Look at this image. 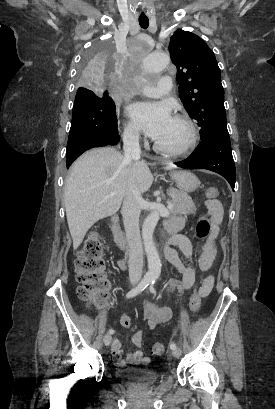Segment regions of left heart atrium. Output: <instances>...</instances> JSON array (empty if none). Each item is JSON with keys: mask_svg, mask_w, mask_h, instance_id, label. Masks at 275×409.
I'll list each match as a JSON object with an SVG mask.
<instances>
[{"mask_svg": "<svg viewBox=\"0 0 275 409\" xmlns=\"http://www.w3.org/2000/svg\"><path fill=\"white\" fill-rule=\"evenodd\" d=\"M130 111L152 138L157 136L171 120L170 109L165 103H138L133 105Z\"/></svg>", "mask_w": 275, "mask_h": 409, "instance_id": "39dd6f15", "label": "left heart atrium"}]
</instances>
